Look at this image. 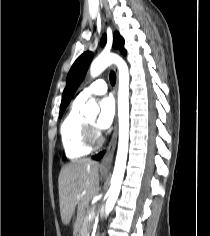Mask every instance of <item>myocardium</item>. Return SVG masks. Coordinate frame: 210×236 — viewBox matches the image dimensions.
I'll use <instances>...</instances> for the list:
<instances>
[{"instance_id": "1", "label": "myocardium", "mask_w": 210, "mask_h": 236, "mask_svg": "<svg viewBox=\"0 0 210 236\" xmlns=\"http://www.w3.org/2000/svg\"><path fill=\"white\" fill-rule=\"evenodd\" d=\"M84 141L87 146L94 148L102 143L101 136L94 130L93 124L85 120Z\"/></svg>"}]
</instances>
